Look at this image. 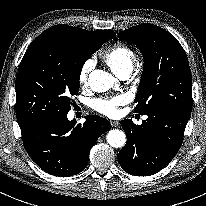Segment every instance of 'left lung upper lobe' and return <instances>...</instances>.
Instances as JSON below:
<instances>
[{
  "instance_id": "obj_1",
  "label": "left lung upper lobe",
  "mask_w": 206,
  "mask_h": 206,
  "mask_svg": "<svg viewBox=\"0 0 206 206\" xmlns=\"http://www.w3.org/2000/svg\"><path fill=\"white\" fill-rule=\"evenodd\" d=\"M118 37L136 44L144 56L134 111L142 115L154 108L191 112L192 76L188 58L178 40L149 23L124 30Z\"/></svg>"
}]
</instances>
